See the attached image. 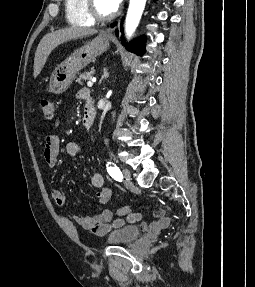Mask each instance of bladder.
<instances>
[{
    "mask_svg": "<svg viewBox=\"0 0 255 287\" xmlns=\"http://www.w3.org/2000/svg\"><path fill=\"white\" fill-rule=\"evenodd\" d=\"M142 234V228L135 224H125L116 227L106 236V242L110 244L130 243Z\"/></svg>",
    "mask_w": 255,
    "mask_h": 287,
    "instance_id": "bladder-1",
    "label": "bladder"
}]
</instances>
